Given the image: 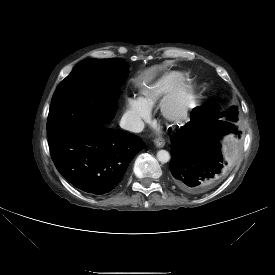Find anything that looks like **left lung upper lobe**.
<instances>
[{"label":"left lung upper lobe","mask_w":275,"mask_h":275,"mask_svg":"<svg viewBox=\"0 0 275 275\" xmlns=\"http://www.w3.org/2000/svg\"><path fill=\"white\" fill-rule=\"evenodd\" d=\"M195 110H196V116H198V117H203L207 113H209V114H219L217 112H214L212 109L206 108V107H198V108H195ZM219 115H220V117L228 116V119L236 120V118H237V108L235 106H233L229 109V111L227 113H221Z\"/></svg>","instance_id":"5c2ea615"}]
</instances>
